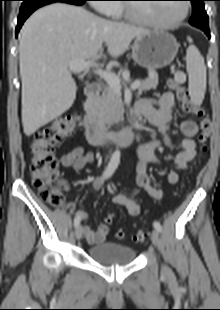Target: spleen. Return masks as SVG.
<instances>
[{
	"label": "spleen",
	"instance_id": "obj_1",
	"mask_svg": "<svg viewBox=\"0 0 220 310\" xmlns=\"http://www.w3.org/2000/svg\"><path fill=\"white\" fill-rule=\"evenodd\" d=\"M189 43L192 39L188 38ZM186 66L189 77V94L191 99L201 104L206 91V67L204 58L194 45H190L186 52Z\"/></svg>",
	"mask_w": 220,
	"mask_h": 310
}]
</instances>
